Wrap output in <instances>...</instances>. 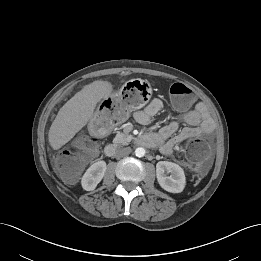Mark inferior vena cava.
<instances>
[{"label":"inferior vena cava","instance_id":"inferior-vena-cava-1","mask_svg":"<svg viewBox=\"0 0 261 261\" xmlns=\"http://www.w3.org/2000/svg\"><path fill=\"white\" fill-rule=\"evenodd\" d=\"M131 153V148L130 147H125V148H120L116 151L115 157L116 158H122L126 157Z\"/></svg>","mask_w":261,"mask_h":261}]
</instances>
